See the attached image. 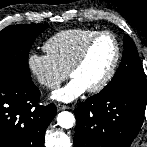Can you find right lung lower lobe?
<instances>
[{"instance_id":"1","label":"right lung lower lobe","mask_w":147,"mask_h":147,"mask_svg":"<svg viewBox=\"0 0 147 147\" xmlns=\"http://www.w3.org/2000/svg\"><path fill=\"white\" fill-rule=\"evenodd\" d=\"M39 99L40 91L32 81L0 76V147H44L56 107L38 105Z\"/></svg>"}]
</instances>
